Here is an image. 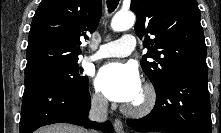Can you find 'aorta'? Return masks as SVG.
Masks as SVG:
<instances>
[{
  "instance_id": "obj_1",
  "label": "aorta",
  "mask_w": 221,
  "mask_h": 133,
  "mask_svg": "<svg viewBox=\"0 0 221 133\" xmlns=\"http://www.w3.org/2000/svg\"><path fill=\"white\" fill-rule=\"evenodd\" d=\"M135 23V15L132 12H118L111 21V28L114 31H125Z\"/></svg>"
}]
</instances>
